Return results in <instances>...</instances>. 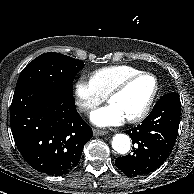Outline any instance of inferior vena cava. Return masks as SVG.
<instances>
[{
	"label": "inferior vena cava",
	"mask_w": 194,
	"mask_h": 194,
	"mask_svg": "<svg viewBox=\"0 0 194 194\" xmlns=\"http://www.w3.org/2000/svg\"><path fill=\"white\" fill-rule=\"evenodd\" d=\"M81 111H83V112H87V111H88V109H87V108H82V109H81Z\"/></svg>",
	"instance_id": "1"
}]
</instances>
